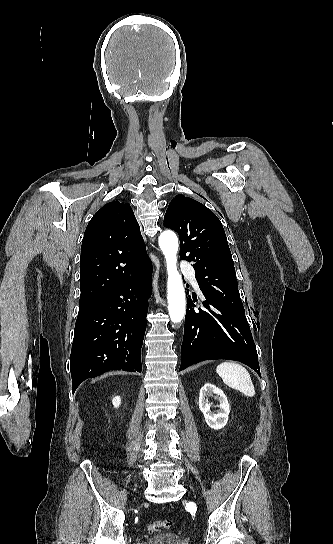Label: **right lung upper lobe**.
<instances>
[{"label": "right lung upper lobe", "mask_w": 333, "mask_h": 544, "mask_svg": "<svg viewBox=\"0 0 333 544\" xmlns=\"http://www.w3.org/2000/svg\"><path fill=\"white\" fill-rule=\"evenodd\" d=\"M149 264L130 205L118 200L107 203L93 216L84 233L79 301L102 299Z\"/></svg>", "instance_id": "cb5924a9"}]
</instances>
